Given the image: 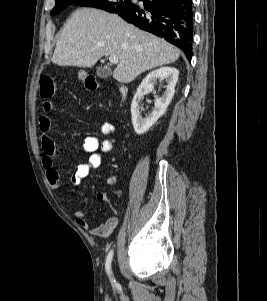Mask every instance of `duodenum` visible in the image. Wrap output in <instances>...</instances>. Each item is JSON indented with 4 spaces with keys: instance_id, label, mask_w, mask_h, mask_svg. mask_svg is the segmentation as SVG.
<instances>
[{
    "instance_id": "obj_1",
    "label": "duodenum",
    "mask_w": 267,
    "mask_h": 301,
    "mask_svg": "<svg viewBox=\"0 0 267 301\" xmlns=\"http://www.w3.org/2000/svg\"><path fill=\"white\" fill-rule=\"evenodd\" d=\"M86 83L89 89H95L97 87V83L92 77H87ZM119 91L121 97L124 98L127 94V88L123 84H119Z\"/></svg>"
}]
</instances>
